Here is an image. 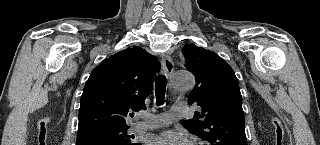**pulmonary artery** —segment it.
<instances>
[{"instance_id": "pulmonary-artery-1", "label": "pulmonary artery", "mask_w": 320, "mask_h": 145, "mask_svg": "<svg viewBox=\"0 0 320 145\" xmlns=\"http://www.w3.org/2000/svg\"><path fill=\"white\" fill-rule=\"evenodd\" d=\"M188 113V107L185 102H175L170 112L157 115L141 114L143 119L132 126V130L136 132L151 130L168 126L173 121L183 118Z\"/></svg>"}]
</instances>
